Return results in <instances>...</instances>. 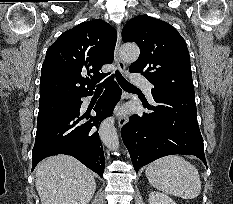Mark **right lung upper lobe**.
<instances>
[{"label": "right lung upper lobe", "mask_w": 233, "mask_h": 204, "mask_svg": "<svg viewBox=\"0 0 233 204\" xmlns=\"http://www.w3.org/2000/svg\"><path fill=\"white\" fill-rule=\"evenodd\" d=\"M116 40V30L101 19L64 32L47 50L41 69L39 103L92 92L101 77L107 75L99 70L112 63ZM85 74H93L91 80L82 77Z\"/></svg>", "instance_id": "right-lung-upper-lobe-1"}]
</instances>
